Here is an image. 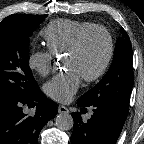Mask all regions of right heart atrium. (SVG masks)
I'll use <instances>...</instances> for the list:
<instances>
[{
	"mask_svg": "<svg viewBox=\"0 0 144 144\" xmlns=\"http://www.w3.org/2000/svg\"><path fill=\"white\" fill-rule=\"evenodd\" d=\"M53 61L54 54L49 49L32 50L27 58L29 68L41 76L52 70Z\"/></svg>",
	"mask_w": 144,
	"mask_h": 144,
	"instance_id": "1",
	"label": "right heart atrium"
}]
</instances>
